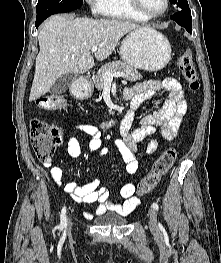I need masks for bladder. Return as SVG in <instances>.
<instances>
[{
  "instance_id": "bladder-1",
  "label": "bladder",
  "mask_w": 221,
  "mask_h": 263,
  "mask_svg": "<svg viewBox=\"0 0 221 263\" xmlns=\"http://www.w3.org/2000/svg\"><path fill=\"white\" fill-rule=\"evenodd\" d=\"M95 222L98 225H124L127 222V220L118 215H114L111 217H106V216L96 217Z\"/></svg>"
}]
</instances>
